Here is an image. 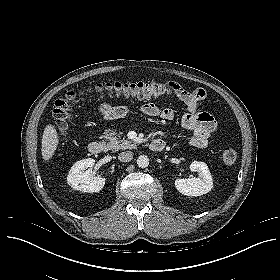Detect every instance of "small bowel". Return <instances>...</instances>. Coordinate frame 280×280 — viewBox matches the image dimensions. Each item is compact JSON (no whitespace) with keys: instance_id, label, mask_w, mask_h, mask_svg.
<instances>
[{"instance_id":"obj_1","label":"small bowel","mask_w":280,"mask_h":280,"mask_svg":"<svg viewBox=\"0 0 280 280\" xmlns=\"http://www.w3.org/2000/svg\"><path fill=\"white\" fill-rule=\"evenodd\" d=\"M169 85L173 94L186 106L181 124L184 129L192 132V145L199 148L206 147L218 129V124L213 115L199 110L200 104L206 98V91L203 88L187 90L175 82H170ZM140 111L144 115L157 117L163 121H171L175 117L173 109L161 108L154 103L143 104ZM127 112L128 108L126 106L104 104L101 108V114L107 119L121 118Z\"/></svg>"}]
</instances>
